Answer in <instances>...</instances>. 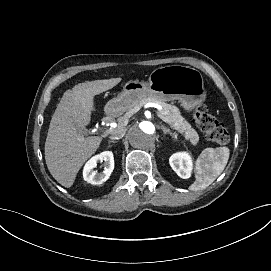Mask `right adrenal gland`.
<instances>
[{
    "label": "right adrenal gland",
    "mask_w": 271,
    "mask_h": 271,
    "mask_svg": "<svg viewBox=\"0 0 271 271\" xmlns=\"http://www.w3.org/2000/svg\"><path fill=\"white\" fill-rule=\"evenodd\" d=\"M111 143H112V144H115L116 141H114V140H109V141H108V144H111Z\"/></svg>",
    "instance_id": "2a0ac1e0"
}]
</instances>
